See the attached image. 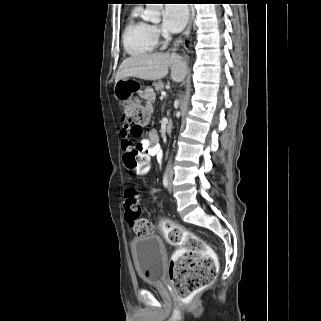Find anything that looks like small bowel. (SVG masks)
Wrapping results in <instances>:
<instances>
[{
    "mask_svg": "<svg viewBox=\"0 0 321 321\" xmlns=\"http://www.w3.org/2000/svg\"><path fill=\"white\" fill-rule=\"evenodd\" d=\"M144 98L150 102L152 97L149 95H145ZM130 131L126 126H123L120 130L121 136V148L124 152V155L127 153L138 150L139 152L147 155L148 157L158 156L160 154V146H159V135L156 130H151L147 134L145 138H143L137 144H133L129 138Z\"/></svg>",
    "mask_w": 321,
    "mask_h": 321,
    "instance_id": "obj_1",
    "label": "small bowel"
}]
</instances>
